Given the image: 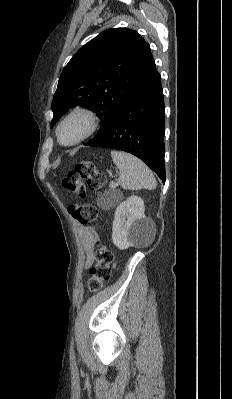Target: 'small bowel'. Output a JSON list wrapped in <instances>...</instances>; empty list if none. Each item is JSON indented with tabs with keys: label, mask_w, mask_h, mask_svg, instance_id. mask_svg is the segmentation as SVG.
Segmentation results:
<instances>
[{
	"label": "small bowel",
	"mask_w": 232,
	"mask_h": 399,
	"mask_svg": "<svg viewBox=\"0 0 232 399\" xmlns=\"http://www.w3.org/2000/svg\"><path fill=\"white\" fill-rule=\"evenodd\" d=\"M78 234L85 253L86 264H89L93 259V244L99 237L98 232L91 226H80Z\"/></svg>",
	"instance_id": "c3829d8e"
}]
</instances>
